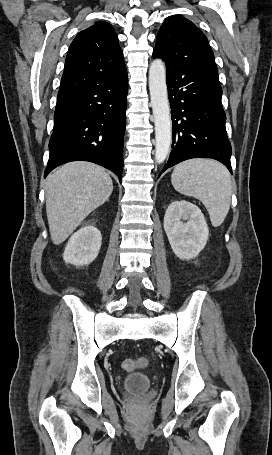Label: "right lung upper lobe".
<instances>
[{"mask_svg": "<svg viewBox=\"0 0 272 455\" xmlns=\"http://www.w3.org/2000/svg\"><path fill=\"white\" fill-rule=\"evenodd\" d=\"M126 73L114 28L107 22H96L79 32L70 45L58 96Z\"/></svg>", "mask_w": 272, "mask_h": 455, "instance_id": "obj_1", "label": "right lung upper lobe"}]
</instances>
